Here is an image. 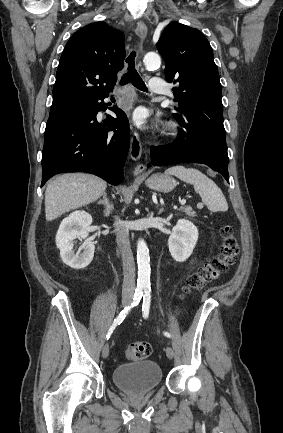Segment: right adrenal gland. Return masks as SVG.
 Segmentation results:
<instances>
[{
  "label": "right adrenal gland",
  "instance_id": "2a0ac1e0",
  "mask_svg": "<svg viewBox=\"0 0 283 433\" xmlns=\"http://www.w3.org/2000/svg\"><path fill=\"white\" fill-rule=\"evenodd\" d=\"M98 204H105L104 217H109L110 212H112L114 208V204H112V200L110 202L107 192H103V200H98Z\"/></svg>",
  "mask_w": 283,
  "mask_h": 433
}]
</instances>
